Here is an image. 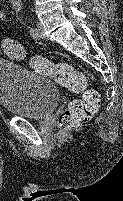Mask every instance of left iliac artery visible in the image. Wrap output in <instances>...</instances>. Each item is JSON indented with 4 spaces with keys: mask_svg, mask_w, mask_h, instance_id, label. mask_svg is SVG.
<instances>
[{
    "mask_svg": "<svg viewBox=\"0 0 123 201\" xmlns=\"http://www.w3.org/2000/svg\"><path fill=\"white\" fill-rule=\"evenodd\" d=\"M12 3H13V6L15 8V10L17 12H20L21 9H22V3H21V0H12ZM30 34L32 35V37H36L37 35V30L35 28H31L30 29Z\"/></svg>",
    "mask_w": 123,
    "mask_h": 201,
    "instance_id": "left-iliac-artery-1",
    "label": "left iliac artery"
}]
</instances>
